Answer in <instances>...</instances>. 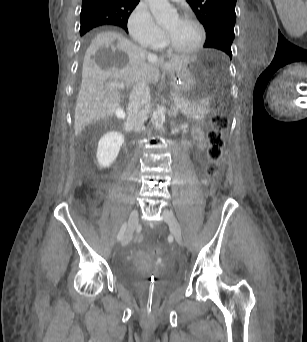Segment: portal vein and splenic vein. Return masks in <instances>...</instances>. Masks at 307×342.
I'll use <instances>...</instances> for the list:
<instances>
[{
	"instance_id": "18ae733b",
	"label": "portal vein and splenic vein",
	"mask_w": 307,
	"mask_h": 342,
	"mask_svg": "<svg viewBox=\"0 0 307 342\" xmlns=\"http://www.w3.org/2000/svg\"><path fill=\"white\" fill-rule=\"evenodd\" d=\"M107 88H124L123 82H108L106 84ZM177 110L181 107L179 104L176 106ZM183 108L185 107L184 105L182 106Z\"/></svg>"
}]
</instances>
